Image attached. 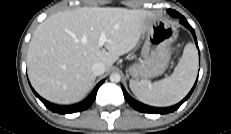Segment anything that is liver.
Segmentation results:
<instances>
[{"label": "liver", "instance_id": "obj_1", "mask_svg": "<svg viewBox=\"0 0 231 134\" xmlns=\"http://www.w3.org/2000/svg\"><path fill=\"white\" fill-rule=\"evenodd\" d=\"M145 10L82 7L49 16L35 30L27 52L30 82L37 93L57 104L81 100L93 86L92 65L108 70L134 49L143 35ZM101 33L105 49L99 47Z\"/></svg>", "mask_w": 231, "mask_h": 134}]
</instances>
